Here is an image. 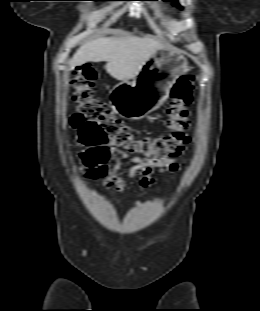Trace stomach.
Returning a JSON list of instances; mask_svg holds the SVG:
<instances>
[{"instance_id": "stomach-1", "label": "stomach", "mask_w": 260, "mask_h": 311, "mask_svg": "<svg viewBox=\"0 0 260 311\" xmlns=\"http://www.w3.org/2000/svg\"><path fill=\"white\" fill-rule=\"evenodd\" d=\"M190 70L185 56L176 49L157 50L132 82H121L111 92V105L127 119L139 120L161 107L176 80Z\"/></svg>"}]
</instances>
